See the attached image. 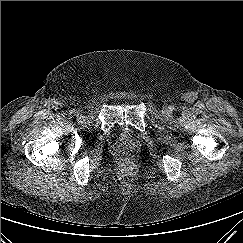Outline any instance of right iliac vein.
<instances>
[{"label": "right iliac vein", "instance_id": "right-iliac-vein-1", "mask_svg": "<svg viewBox=\"0 0 243 243\" xmlns=\"http://www.w3.org/2000/svg\"><path fill=\"white\" fill-rule=\"evenodd\" d=\"M75 115H76L77 117H82L83 112L80 111V110H78V111L75 112Z\"/></svg>", "mask_w": 243, "mask_h": 243}]
</instances>
